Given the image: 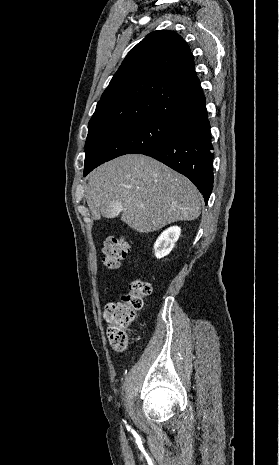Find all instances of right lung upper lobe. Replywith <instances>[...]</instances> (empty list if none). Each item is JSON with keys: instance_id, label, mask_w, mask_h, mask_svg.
Listing matches in <instances>:
<instances>
[{"instance_id": "1", "label": "right lung upper lobe", "mask_w": 279, "mask_h": 465, "mask_svg": "<svg viewBox=\"0 0 279 465\" xmlns=\"http://www.w3.org/2000/svg\"><path fill=\"white\" fill-rule=\"evenodd\" d=\"M205 104L190 48L177 33L148 34L128 53L88 128L129 119L176 122Z\"/></svg>"}]
</instances>
